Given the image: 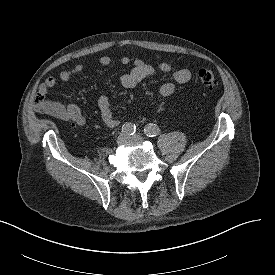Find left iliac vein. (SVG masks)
<instances>
[{
	"label": "left iliac vein",
	"instance_id": "4c4485c4",
	"mask_svg": "<svg viewBox=\"0 0 275 275\" xmlns=\"http://www.w3.org/2000/svg\"><path fill=\"white\" fill-rule=\"evenodd\" d=\"M143 137L139 136V135H134L131 137V142H135V143H141L143 142Z\"/></svg>",
	"mask_w": 275,
	"mask_h": 275
}]
</instances>
